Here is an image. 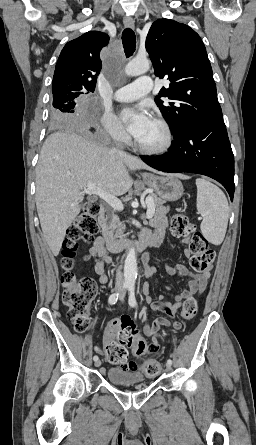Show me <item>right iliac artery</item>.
<instances>
[{
    "label": "right iliac artery",
    "mask_w": 256,
    "mask_h": 445,
    "mask_svg": "<svg viewBox=\"0 0 256 445\" xmlns=\"http://www.w3.org/2000/svg\"><path fill=\"white\" fill-rule=\"evenodd\" d=\"M127 288H128L127 285H124V286H123V289H127ZM118 297H119V293H113V294H111L110 297H109V299H108L109 304H110V305H114V304L117 302ZM93 360H94V361L98 360V356L95 355V356L93 357Z\"/></svg>",
    "instance_id": "1"
}]
</instances>
